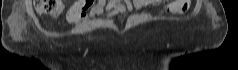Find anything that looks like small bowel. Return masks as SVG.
I'll use <instances>...</instances> for the list:
<instances>
[{
    "label": "small bowel",
    "mask_w": 238,
    "mask_h": 70,
    "mask_svg": "<svg viewBox=\"0 0 238 70\" xmlns=\"http://www.w3.org/2000/svg\"><path fill=\"white\" fill-rule=\"evenodd\" d=\"M153 0H98L95 3L87 0H79L75 2L67 13V20L77 24L86 16H99L104 11L109 17L140 10L148 5L154 4ZM180 5L177 1L168 5V12H177Z\"/></svg>",
    "instance_id": "small-bowel-1"
}]
</instances>
